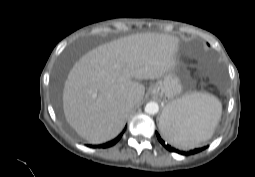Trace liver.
<instances>
[{"mask_svg":"<svg viewBox=\"0 0 255 177\" xmlns=\"http://www.w3.org/2000/svg\"><path fill=\"white\" fill-rule=\"evenodd\" d=\"M177 37L140 33L96 47L70 70L63 90L67 122L91 144L115 138L145 87L137 80L165 76L177 65ZM134 105H128V99ZM167 116H163V122Z\"/></svg>","mask_w":255,"mask_h":177,"instance_id":"obj_1","label":"liver"}]
</instances>
